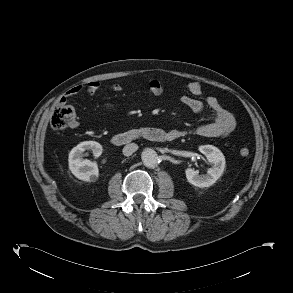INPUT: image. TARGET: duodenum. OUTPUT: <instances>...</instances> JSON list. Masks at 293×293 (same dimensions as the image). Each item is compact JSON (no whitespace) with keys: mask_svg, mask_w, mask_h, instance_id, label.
Returning a JSON list of instances; mask_svg holds the SVG:
<instances>
[{"mask_svg":"<svg viewBox=\"0 0 293 293\" xmlns=\"http://www.w3.org/2000/svg\"><path fill=\"white\" fill-rule=\"evenodd\" d=\"M138 138H145L153 142H167L175 139L171 133L160 128L145 127L138 130L117 133L113 135L111 142L116 146H122L129 144Z\"/></svg>","mask_w":293,"mask_h":293,"instance_id":"duodenum-1","label":"duodenum"}]
</instances>
